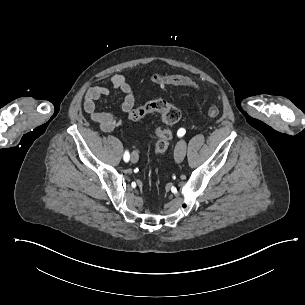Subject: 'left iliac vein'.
I'll return each instance as SVG.
<instances>
[{"label": "left iliac vein", "instance_id": "obj_1", "mask_svg": "<svg viewBox=\"0 0 305 305\" xmlns=\"http://www.w3.org/2000/svg\"><path fill=\"white\" fill-rule=\"evenodd\" d=\"M186 142L185 140L181 139L177 142L176 146H175V151H174V155H175V160L180 163L184 160L185 154H186Z\"/></svg>", "mask_w": 305, "mask_h": 305}]
</instances>
